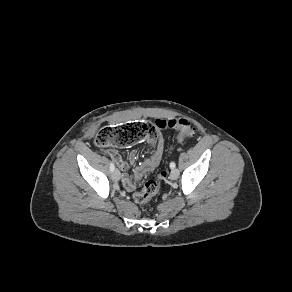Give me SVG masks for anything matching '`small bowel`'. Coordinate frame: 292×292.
I'll use <instances>...</instances> for the list:
<instances>
[{"mask_svg": "<svg viewBox=\"0 0 292 292\" xmlns=\"http://www.w3.org/2000/svg\"><path fill=\"white\" fill-rule=\"evenodd\" d=\"M147 141L154 145V151L149 158L139 163L135 167L134 174H133L135 181L140 180L147 173L152 172L160 164L161 159H162V155L164 151V142L162 138H160L159 136L154 141H149V140ZM107 153L115 161L118 168L123 172L121 175V182L124 188L130 192L135 190L136 185H135L134 180H132L131 177L126 173L128 169V163L118 153H116L113 150H108ZM137 159H138L137 153L135 151H132L129 154L130 163H135Z\"/></svg>", "mask_w": 292, "mask_h": 292, "instance_id": "c3829d8e", "label": "small bowel"}]
</instances>
